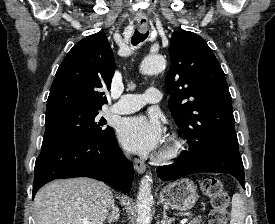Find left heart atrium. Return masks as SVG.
Here are the masks:
<instances>
[{"label":"left heart atrium","instance_id":"39dd6f15","mask_svg":"<svg viewBox=\"0 0 275 224\" xmlns=\"http://www.w3.org/2000/svg\"><path fill=\"white\" fill-rule=\"evenodd\" d=\"M117 131L122 145L135 153H147L156 149L162 139L158 120L143 115L121 120Z\"/></svg>","mask_w":275,"mask_h":224}]
</instances>
